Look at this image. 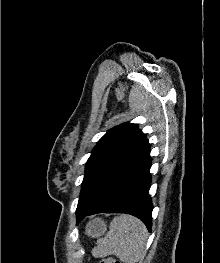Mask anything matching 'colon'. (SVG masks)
Returning <instances> with one entry per match:
<instances>
[{"instance_id": "colon-1", "label": "colon", "mask_w": 220, "mask_h": 263, "mask_svg": "<svg viewBox=\"0 0 220 263\" xmlns=\"http://www.w3.org/2000/svg\"><path fill=\"white\" fill-rule=\"evenodd\" d=\"M100 263H121L119 260H116L114 258H103Z\"/></svg>"}]
</instances>
